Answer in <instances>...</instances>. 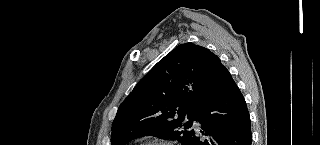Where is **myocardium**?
<instances>
[{"instance_id":"f54148a6","label":"myocardium","mask_w":320,"mask_h":145,"mask_svg":"<svg viewBox=\"0 0 320 145\" xmlns=\"http://www.w3.org/2000/svg\"><path fill=\"white\" fill-rule=\"evenodd\" d=\"M141 145H170V144L166 142L150 141V142L143 143Z\"/></svg>"}]
</instances>
